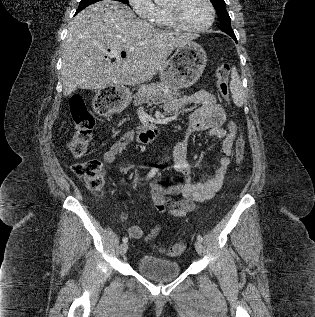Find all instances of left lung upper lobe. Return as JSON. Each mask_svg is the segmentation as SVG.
<instances>
[{
	"instance_id": "left-lung-upper-lobe-1",
	"label": "left lung upper lobe",
	"mask_w": 315,
	"mask_h": 317,
	"mask_svg": "<svg viewBox=\"0 0 315 317\" xmlns=\"http://www.w3.org/2000/svg\"><path fill=\"white\" fill-rule=\"evenodd\" d=\"M217 11L218 18L221 22V31L227 33L230 36H234V32L231 28V19L226 11V3L224 0H210Z\"/></svg>"
}]
</instances>
